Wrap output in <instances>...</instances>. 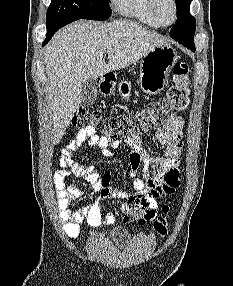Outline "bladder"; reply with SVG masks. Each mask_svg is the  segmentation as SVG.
I'll use <instances>...</instances> for the list:
<instances>
[{
	"label": "bladder",
	"mask_w": 233,
	"mask_h": 286,
	"mask_svg": "<svg viewBox=\"0 0 233 286\" xmlns=\"http://www.w3.org/2000/svg\"><path fill=\"white\" fill-rule=\"evenodd\" d=\"M109 241L112 245L122 248L130 241V233L123 227H116L110 232Z\"/></svg>",
	"instance_id": "1"
}]
</instances>
